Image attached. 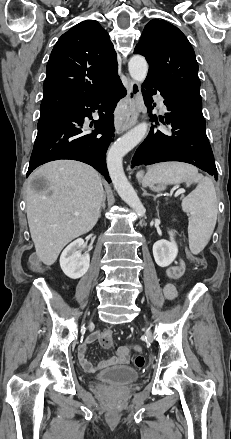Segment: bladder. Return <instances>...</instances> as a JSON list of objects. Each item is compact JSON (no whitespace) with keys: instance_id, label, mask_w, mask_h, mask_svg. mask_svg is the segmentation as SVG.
<instances>
[{"instance_id":"obj_1","label":"bladder","mask_w":231,"mask_h":439,"mask_svg":"<svg viewBox=\"0 0 231 439\" xmlns=\"http://www.w3.org/2000/svg\"><path fill=\"white\" fill-rule=\"evenodd\" d=\"M139 375L135 369L130 366L120 365L98 373L96 380L116 384H131L137 381Z\"/></svg>"}]
</instances>
